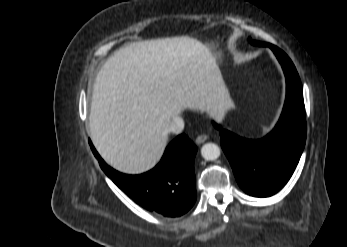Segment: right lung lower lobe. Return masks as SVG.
<instances>
[{
    "instance_id": "1",
    "label": "right lung lower lobe",
    "mask_w": 347,
    "mask_h": 247,
    "mask_svg": "<svg viewBox=\"0 0 347 247\" xmlns=\"http://www.w3.org/2000/svg\"><path fill=\"white\" fill-rule=\"evenodd\" d=\"M91 148L106 175L143 208L164 216L186 213L196 201L194 159L197 147L185 135L166 148L159 164L141 175L122 174L109 167Z\"/></svg>"
}]
</instances>
